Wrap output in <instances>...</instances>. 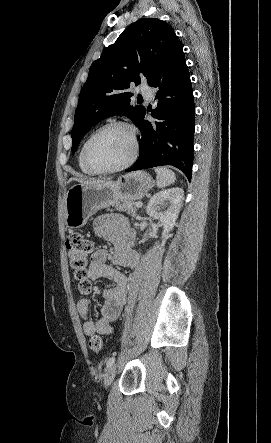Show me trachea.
I'll list each match as a JSON object with an SVG mask.
<instances>
[{
	"mask_svg": "<svg viewBox=\"0 0 271 443\" xmlns=\"http://www.w3.org/2000/svg\"><path fill=\"white\" fill-rule=\"evenodd\" d=\"M138 101L142 102V101H143V99H142V98H141V99H138Z\"/></svg>",
	"mask_w": 271,
	"mask_h": 443,
	"instance_id": "1",
	"label": "trachea"
}]
</instances>
